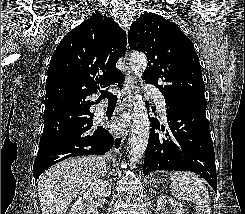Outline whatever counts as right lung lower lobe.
Masks as SVG:
<instances>
[{
	"label": "right lung lower lobe",
	"mask_w": 245,
	"mask_h": 214,
	"mask_svg": "<svg viewBox=\"0 0 245 214\" xmlns=\"http://www.w3.org/2000/svg\"><path fill=\"white\" fill-rule=\"evenodd\" d=\"M124 77L117 83L122 88ZM64 101V100H61ZM90 107L44 122L39 151L33 165L35 180L50 166L69 157L104 155L113 147V137L101 126H93Z\"/></svg>",
	"instance_id": "98d812e1"
}]
</instances>
